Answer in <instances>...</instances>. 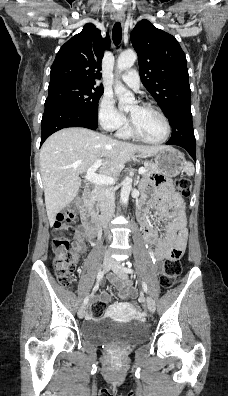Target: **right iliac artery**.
Masks as SVG:
<instances>
[{"mask_svg": "<svg viewBox=\"0 0 228 396\" xmlns=\"http://www.w3.org/2000/svg\"><path fill=\"white\" fill-rule=\"evenodd\" d=\"M104 276V271H100L97 275V284L95 285V287L93 288V291H96L98 288V282H100V280L103 278ZM89 297L90 295H88L85 299H84V305H86L89 301Z\"/></svg>", "mask_w": 228, "mask_h": 396, "instance_id": "82829eb1", "label": "right iliac artery"}]
</instances>
